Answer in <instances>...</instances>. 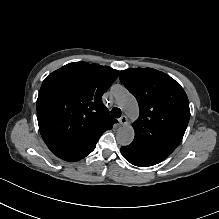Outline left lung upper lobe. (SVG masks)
Returning a JSON list of instances; mask_svg holds the SVG:
<instances>
[{
  "instance_id": "5c2ea615",
  "label": "left lung upper lobe",
  "mask_w": 219,
  "mask_h": 219,
  "mask_svg": "<svg viewBox=\"0 0 219 219\" xmlns=\"http://www.w3.org/2000/svg\"><path fill=\"white\" fill-rule=\"evenodd\" d=\"M119 78L140 109L133 124L135 138L127 147L160 163L184 136L190 118L188 97L177 81L152 68H129Z\"/></svg>"
}]
</instances>
